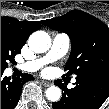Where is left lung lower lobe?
Here are the masks:
<instances>
[{
	"label": "left lung lower lobe",
	"instance_id": "obj_1",
	"mask_svg": "<svg viewBox=\"0 0 109 109\" xmlns=\"http://www.w3.org/2000/svg\"><path fill=\"white\" fill-rule=\"evenodd\" d=\"M56 85L64 90L59 102L52 103L53 109H99L109 96V75L88 72L76 77L74 88L67 89L59 81Z\"/></svg>",
	"mask_w": 109,
	"mask_h": 109
}]
</instances>
